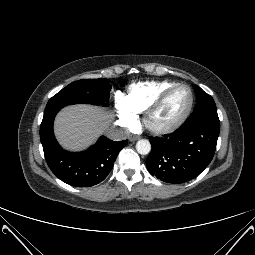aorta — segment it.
Masks as SVG:
<instances>
[{"mask_svg": "<svg viewBox=\"0 0 255 255\" xmlns=\"http://www.w3.org/2000/svg\"><path fill=\"white\" fill-rule=\"evenodd\" d=\"M136 150L141 155H147L151 151V144L146 139H140L136 143Z\"/></svg>", "mask_w": 255, "mask_h": 255, "instance_id": "obj_1", "label": "aorta"}]
</instances>
